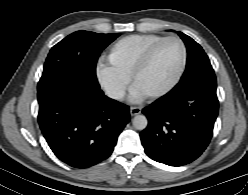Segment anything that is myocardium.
Masks as SVG:
<instances>
[{"label":"myocardium","instance_id":"obj_1","mask_svg":"<svg viewBox=\"0 0 248 195\" xmlns=\"http://www.w3.org/2000/svg\"><path fill=\"white\" fill-rule=\"evenodd\" d=\"M173 40L179 42L181 47H182V60H181V64H180V67H179L177 74L175 75V77L172 79V81L167 86H165L164 88H162L159 91H154V92H142V91H140L138 86H137L140 77L142 76V74H144L152 66V64H153L158 52L160 51V49L166 43H168L169 41H173ZM187 56H188L187 47L181 38H179L177 36L166 37L149 52V54L145 57V59L142 61V63L138 66V68L134 72V75L132 78L133 88L137 91H140L143 95L151 97V98H159V97L166 95L167 93H169L171 90H173L175 88V86L179 83L180 79L182 78V75L185 71L186 64H187Z\"/></svg>","mask_w":248,"mask_h":195}]
</instances>
